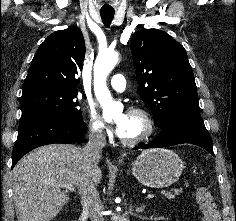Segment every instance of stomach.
Here are the masks:
<instances>
[{
  "mask_svg": "<svg viewBox=\"0 0 236 221\" xmlns=\"http://www.w3.org/2000/svg\"><path fill=\"white\" fill-rule=\"evenodd\" d=\"M183 169L180 157L164 148L144 150L132 164L133 175L150 188L170 186L179 179Z\"/></svg>",
  "mask_w": 236,
  "mask_h": 221,
  "instance_id": "stomach-1",
  "label": "stomach"
}]
</instances>
